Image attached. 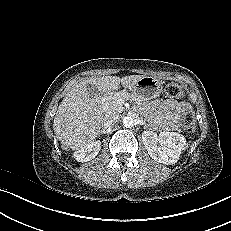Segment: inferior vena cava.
Here are the masks:
<instances>
[{
    "mask_svg": "<svg viewBox=\"0 0 231 231\" xmlns=\"http://www.w3.org/2000/svg\"><path fill=\"white\" fill-rule=\"evenodd\" d=\"M118 121V116L115 114H107L102 120V126L109 128Z\"/></svg>",
    "mask_w": 231,
    "mask_h": 231,
    "instance_id": "inferior-vena-cava-1",
    "label": "inferior vena cava"
}]
</instances>
